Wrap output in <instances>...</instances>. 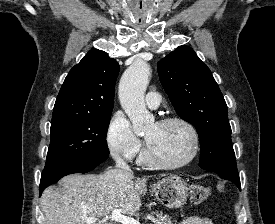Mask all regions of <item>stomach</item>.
<instances>
[{"label": "stomach", "mask_w": 275, "mask_h": 224, "mask_svg": "<svg viewBox=\"0 0 275 224\" xmlns=\"http://www.w3.org/2000/svg\"><path fill=\"white\" fill-rule=\"evenodd\" d=\"M151 189L155 197L167 208H179L187 201V183L179 176H167L153 184Z\"/></svg>", "instance_id": "0dacf381"}]
</instances>
